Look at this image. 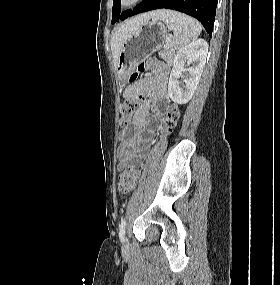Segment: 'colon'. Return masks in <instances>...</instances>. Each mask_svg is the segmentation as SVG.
<instances>
[{
  "label": "colon",
  "mask_w": 280,
  "mask_h": 285,
  "mask_svg": "<svg viewBox=\"0 0 280 285\" xmlns=\"http://www.w3.org/2000/svg\"><path fill=\"white\" fill-rule=\"evenodd\" d=\"M151 61L143 62L139 65L138 70L132 73L129 77L130 84L136 83L139 73L145 70L147 65H149ZM140 103V98H133L126 100L121 106H120V124L121 126H127L134 118L138 107ZM180 117V111L179 108L176 105H172L168 111L166 112V115L163 120V124L161 127L162 133H169L174 126L176 125V122L178 121ZM139 178V171L128 167L125 168L119 175V190L123 193H127L131 191L137 184Z\"/></svg>",
  "instance_id": "colon-1"
}]
</instances>
